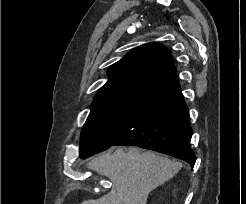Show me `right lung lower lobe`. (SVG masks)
Listing matches in <instances>:
<instances>
[{"instance_id":"obj_1","label":"right lung lower lobe","mask_w":246,"mask_h":204,"mask_svg":"<svg viewBox=\"0 0 246 204\" xmlns=\"http://www.w3.org/2000/svg\"><path fill=\"white\" fill-rule=\"evenodd\" d=\"M192 129L187 105L175 78L137 98L111 146H138L186 161L193 168Z\"/></svg>"}]
</instances>
